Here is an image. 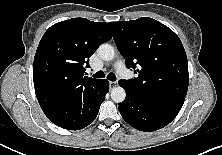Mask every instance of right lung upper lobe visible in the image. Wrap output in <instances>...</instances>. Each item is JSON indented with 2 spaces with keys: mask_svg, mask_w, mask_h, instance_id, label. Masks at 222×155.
<instances>
[{
  "mask_svg": "<svg viewBox=\"0 0 222 155\" xmlns=\"http://www.w3.org/2000/svg\"><path fill=\"white\" fill-rule=\"evenodd\" d=\"M109 23L72 18L54 24L44 33L33 64L36 96L49 94L60 100L98 83L100 79L86 76L85 67L97 48L112 38Z\"/></svg>",
  "mask_w": 222,
  "mask_h": 155,
  "instance_id": "obj_1",
  "label": "right lung upper lobe"
}]
</instances>
